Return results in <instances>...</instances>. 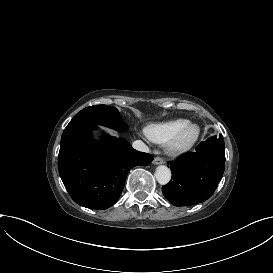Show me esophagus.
I'll return each instance as SVG.
<instances>
[{
    "instance_id": "34e87169",
    "label": "esophagus",
    "mask_w": 273,
    "mask_h": 273,
    "mask_svg": "<svg viewBox=\"0 0 273 273\" xmlns=\"http://www.w3.org/2000/svg\"><path fill=\"white\" fill-rule=\"evenodd\" d=\"M164 163H165L164 159L159 156L155 157V159L153 160V164H164Z\"/></svg>"
}]
</instances>
